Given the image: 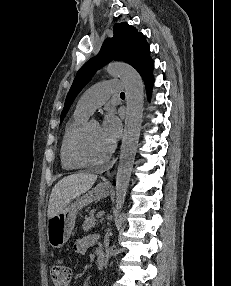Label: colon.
I'll list each match as a JSON object with an SVG mask.
<instances>
[{"label": "colon", "mask_w": 231, "mask_h": 286, "mask_svg": "<svg viewBox=\"0 0 231 286\" xmlns=\"http://www.w3.org/2000/svg\"><path fill=\"white\" fill-rule=\"evenodd\" d=\"M72 277V270L69 264L58 259L51 268V279L54 286H69Z\"/></svg>", "instance_id": "1"}]
</instances>
